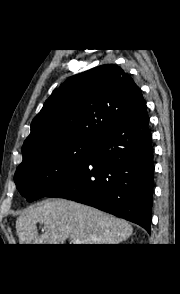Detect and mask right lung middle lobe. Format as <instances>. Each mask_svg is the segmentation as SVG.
Listing matches in <instances>:
<instances>
[{"instance_id":"right-lung-middle-lobe-1","label":"right lung middle lobe","mask_w":180,"mask_h":294,"mask_svg":"<svg viewBox=\"0 0 180 294\" xmlns=\"http://www.w3.org/2000/svg\"><path fill=\"white\" fill-rule=\"evenodd\" d=\"M94 143L72 141L37 151L18 166L17 189L29 202L46 196L82 166Z\"/></svg>"}]
</instances>
